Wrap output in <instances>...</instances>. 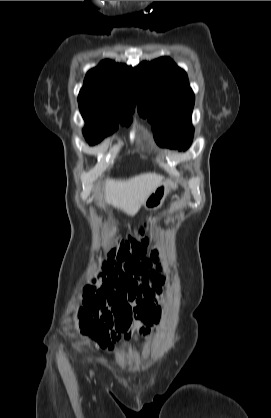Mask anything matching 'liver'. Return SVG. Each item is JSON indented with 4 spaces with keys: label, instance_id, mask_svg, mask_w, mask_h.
Wrapping results in <instances>:
<instances>
[{
    "label": "liver",
    "instance_id": "obj_1",
    "mask_svg": "<svg viewBox=\"0 0 271 418\" xmlns=\"http://www.w3.org/2000/svg\"><path fill=\"white\" fill-rule=\"evenodd\" d=\"M162 181V176L151 172L126 180L107 179L105 201L132 216L139 211L148 196Z\"/></svg>",
    "mask_w": 271,
    "mask_h": 418
}]
</instances>
